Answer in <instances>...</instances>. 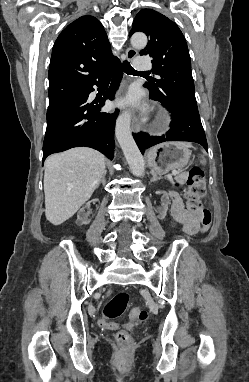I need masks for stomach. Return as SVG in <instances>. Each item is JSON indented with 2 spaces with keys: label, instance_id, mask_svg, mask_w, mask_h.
I'll return each mask as SVG.
<instances>
[{
  "label": "stomach",
  "instance_id": "0dacf381",
  "mask_svg": "<svg viewBox=\"0 0 249 382\" xmlns=\"http://www.w3.org/2000/svg\"><path fill=\"white\" fill-rule=\"evenodd\" d=\"M191 156V151L182 142H166L151 148L147 153V161L151 170L159 175L170 170H180L185 167Z\"/></svg>",
  "mask_w": 249,
  "mask_h": 382
}]
</instances>
